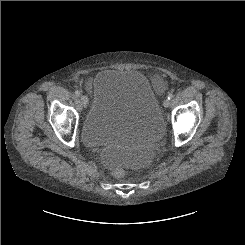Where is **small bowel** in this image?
Segmentation results:
<instances>
[{
  "label": "small bowel",
  "mask_w": 245,
  "mask_h": 245,
  "mask_svg": "<svg viewBox=\"0 0 245 245\" xmlns=\"http://www.w3.org/2000/svg\"><path fill=\"white\" fill-rule=\"evenodd\" d=\"M154 86L157 89V91L161 93L166 87V82L159 79V78H155L154 79Z\"/></svg>",
  "instance_id": "small-bowel-1"
}]
</instances>
